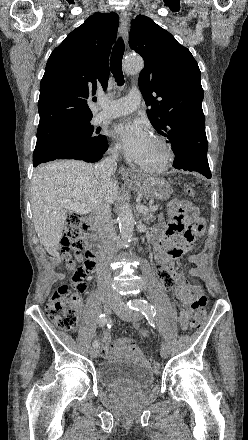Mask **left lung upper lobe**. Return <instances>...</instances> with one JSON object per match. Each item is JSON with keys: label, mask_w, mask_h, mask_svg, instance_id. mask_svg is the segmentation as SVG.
Segmentation results:
<instances>
[{"label": "left lung upper lobe", "mask_w": 248, "mask_h": 440, "mask_svg": "<svg viewBox=\"0 0 248 440\" xmlns=\"http://www.w3.org/2000/svg\"><path fill=\"white\" fill-rule=\"evenodd\" d=\"M129 45L145 62L138 84L150 106L151 124L175 155L182 151L207 153L201 72L190 51L142 15L131 21Z\"/></svg>", "instance_id": "left-lung-upper-lobe-1"}]
</instances>
